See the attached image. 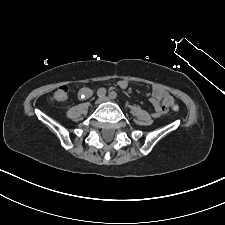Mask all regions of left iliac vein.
<instances>
[{"label":"left iliac vein","mask_w":225,"mask_h":225,"mask_svg":"<svg viewBox=\"0 0 225 225\" xmlns=\"http://www.w3.org/2000/svg\"><path fill=\"white\" fill-rule=\"evenodd\" d=\"M102 101L108 102V101H111V99H110L109 97H104V98L102 99Z\"/></svg>","instance_id":"1"}]
</instances>
